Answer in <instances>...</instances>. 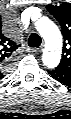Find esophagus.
Listing matches in <instances>:
<instances>
[{
	"label": "esophagus",
	"instance_id": "obj_1",
	"mask_svg": "<svg viewBox=\"0 0 71 119\" xmlns=\"http://www.w3.org/2000/svg\"><path fill=\"white\" fill-rule=\"evenodd\" d=\"M42 49H43V45L39 48H32L31 52L34 54H39V53H41Z\"/></svg>",
	"mask_w": 71,
	"mask_h": 119
}]
</instances>
